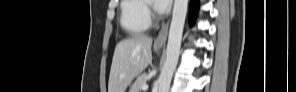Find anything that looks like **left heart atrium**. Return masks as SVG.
I'll list each match as a JSON object with an SVG mask.
<instances>
[{
    "label": "left heart atrium",
    "mask_w": 296,
    "mask_h": 92,
    "mask_svg": "<svg viewBox=\"0 0 296 92\" xmlns=\"http://www.w3.org/2000/svg\"><path fill=\"white\" fill-rule=\"evenodd\" d=\"M170 0H156L154 7L158 13H165L170 7Z\"/></svg>",
    "instance_id": "obj_1"
}]
</instances>
